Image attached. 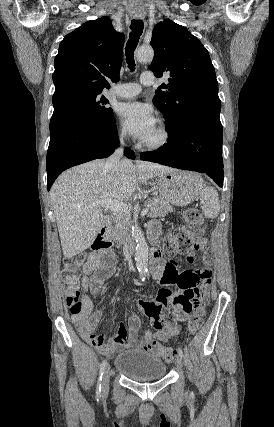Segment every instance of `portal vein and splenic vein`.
<instances>
[{
    "label": "portal vein and splenic vein",
    "mask_w": 274,
    "mask_h": 427,
    "mask_svg": "<svg viewBox=\"0 0 274 427\" xmlns=\"http://www.w3.org/2000/svg\"><path fill=\"white\" fill-rule=\"evenodd\" d=\"M96 206L99 208H105V210H110V212H116V214H129L128 206L123 204V202H112V200H102V202H97ZM148 208L142 210L141 215L148 214Z\"/></svg>",
    "instance_id": "1"
}]
</instances>
